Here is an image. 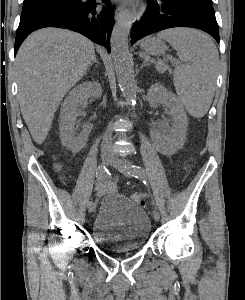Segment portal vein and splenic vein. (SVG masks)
Instances as JSON below:
<instances>
[{"instance_id":"portal-vein-and-splenic-vein-1","label":"portal vein and splenic vein","mask_w":245,"mask_h":300,"mask_svg":"<svg viewBox=\"0 0 245 300\" xmlns=\"http://www.w3.org/2000/svg\"><path fill=\"white\" fill-rule=\"evenodd\" d=\"M171 62L176 63L174 59H171Z\"/></svg>"}]
</instances>
